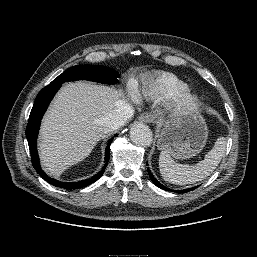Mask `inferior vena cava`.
Here are the masks:
<instances>
[{
	"mask_svg": "<svg viewBox=\"0 0 257 257\" xmlns=\"http://www.w3.org/2000/svg\"><path fill=\"white\" fill-rule=\"evenodd\" d=\"M133 115V109L127 104H121L100 119V124L108 131L120 128Z\"/></svg>",
	"mask_w": 257,
	"mask_h": 257,
	"instance_id": "602c4592",
	"label": "inferior vena cava"
}]
</instances>
